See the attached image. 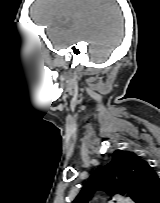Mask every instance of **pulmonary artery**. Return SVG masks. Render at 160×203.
Returning <instances> with one entry per match:
<instances>
[{
    "mask_svg": "<svg viewBox=\"0 0 160 203\" xmlns=\"http://www.w3.org/2000/svg\"><path fill=\"white\" fill-rule=\"evenodd\" d=\"M119 203H133L131 200H121Z\"/></svg>",
    "mask_w": 160,
    "mask_h": 203,
    "instance_id": "1",
    "label": "pulmonary artery"
}]
</instances>
